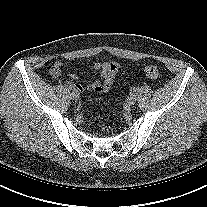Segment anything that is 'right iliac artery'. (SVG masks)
<instances>
[{"label":"right iliac artery","mask_w":207,"mask_h":207,"mask_svg":"<svg viewBox=\"0 0 207 207\" xmlns=\"http://www.w3.org/2000/svg\"><path fill=\"white\" fill-rule=\"evenodd\" d=\"M69 89L73 91L75 90L73 86H69Z\"/></svg>","instance_id":"obj_1"}]
</instances>
